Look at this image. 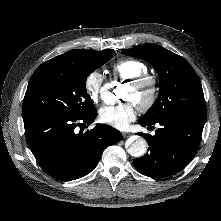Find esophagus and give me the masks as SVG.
Masks as SVG:
<instances>
[{"label":"esophagus","instance_id":"1","mask_svg":"<svg viewBox=\"0 0 221 221\" xmlns=\"http://www.w3.org/2000/svg\"><path fill=\"white\" fill-rule=\"evenodd\" d=\"M122 136H123L124 138H128V137L131 136V133H130V132H123V133H122Z\"/></svg>","mask_w":221,"mask_h":221}]
</instances>
